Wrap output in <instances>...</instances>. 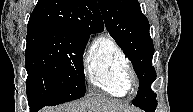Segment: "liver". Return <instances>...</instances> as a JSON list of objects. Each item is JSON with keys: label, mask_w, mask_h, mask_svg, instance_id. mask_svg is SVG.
<instances>
[{"label": "liver", "mask_w": 193, "mask_h": 112, "mask_svg": "<svg viewBox=\"0 0 193 112\" xmlns=\"http://www.w3.org/2000/svg\"><path fill=\"white\" fill-rule=\"evenodd\" d=\"M132 109L107 97H90L81 101H76L62 105L50 112H131ZM43 112H49L44 109Z\"/></svg>", "instance_id": "6515ba94"}]
</instances>
